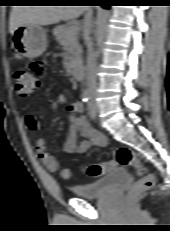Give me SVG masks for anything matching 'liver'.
Instances as JSON below:
<instances>
[{
	"mask_svg": "<svg viewBox=\"0 0 170 231\" xmlns=\"http://www.w3.org/2000/svg\"><path fill=\"white\" fill-rule=\"evenodd\" d=\"M85 6H14L10 13L9 31L24 25H51L61 20L78 18Z\"/></svg>",
	"mask_w": 170,
	"mask_h": 231,
	"instance_id": "6515ba94",
	"label": "liver"
}]
</instances>
